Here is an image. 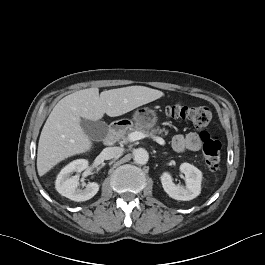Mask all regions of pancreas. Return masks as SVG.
Listing matches in <instances>:
<instances>
[{"instance_id":"cf45deb5","label":"pancreas","mask_w":265,"mask_h":265,"mask_svg":"<svg viewBox=\"0 0 265 265\" xmlns=\"http://www.w3.org/2000/svg\"><path fill=\"white\" fill-rule=\"evenodd\" d=\"M133 131H141L142 133L145 134L146 137H155L157 134H162L163 132L167 133L165 129H159V128H154L152 130L149 129H144L140 126L134 125L130 126L128 130H122L116 135V140L120 141V143L125 144L128 143L129 140V134L132 133Z\"/></svg>"}]
</instances>
